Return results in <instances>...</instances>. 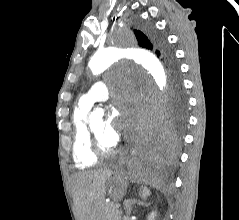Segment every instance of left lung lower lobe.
Returning a JSON list of instances; mask_svg holds the SVG:
<instances>
[{
	"mask_svg": "<svg viewBox=\"0 0 239 220\" xmlns=\"http://www.w3.org/2000/svg\"><path fill=\"white\" fill-rule=\"evenodd\" d=\"M177 132L178 128L171 124L159 143L141 155L137 161V168L140 172L157 173L167 162L175 159L178 144Z\"/></svg>",
	"mask_w": 239,
	"mask_h": 220,
	"instance_id": "1",
	"label": "left lung lower lobe"
}]
</instances>
